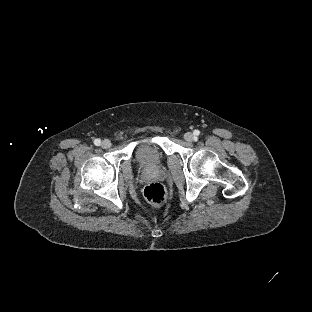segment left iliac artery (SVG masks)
<instances>
[{
	"mask_svg": "<svg viewBox=\"0 0 312 312\" xmlns=\"http://www.w3.org/2000/svg\"><path fill=\"white\" fill-rule=\"evenodd\" d=\"M194 134H195V135H199V134H200V131H199V130H195V131H194Z\"/></svg>",
	"mask_w": 312,
	"mask_h": 312,
	"instance_id": "1",
	"label": "left iliac artery"
}]
</instances>
